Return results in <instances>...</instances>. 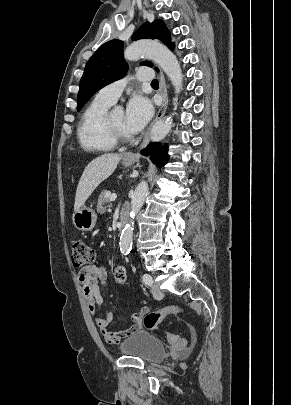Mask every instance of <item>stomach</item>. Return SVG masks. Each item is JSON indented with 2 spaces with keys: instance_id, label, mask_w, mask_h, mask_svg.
Returning <instances> with one entry per match:
<instances>
[{
  "instance_id": "0dacf381",
  "label": "stomach",
  "mask_w": 291,
  "mask_h": 405,
  "mask_svg": "<svg viewBox=\"0 0 291 405\" xmlns=\"http://www.w3.org/2000/svg\"><path fill=\"white\" fill-rule=\"evenodd\" d=\"M133 163L134 160H123L125 167H129ZM72 220L78 230L91 231L96 225L97 214L92 208L82 206L78 211L74 212Z\"/></svg>"
}]
</instances>
